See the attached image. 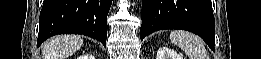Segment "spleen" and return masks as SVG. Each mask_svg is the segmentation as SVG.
Returning <instances> with one entry per match:
<instances>
[{"instance_id": "3e777b00", "label": "spleen", "mask_w": 261, "mask_h": 59, "mask_svg": "<svg viewBox=\"0 0 261 59\" xmlns=\"http://www.w3.org/2000/svg\"><path fill=\"white\" fill-rule=\"evenodd\" d=\"M170 40L185 52L189 59H207V51L202 40L186 31L174 30L170 33Z\"/></svg>"}]
</instances>
